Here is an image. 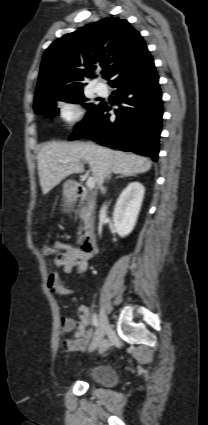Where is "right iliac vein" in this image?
<instances>
[{
    "label": "right iliac vein",
    "mask_w": 208,
    "mask_h": 425,
    "mask_svg": "<svg viewBox=\"0 0 208 425\" xmlns=\"http://www.w3.org/2000/svg\"><path fill=\"white\" fill-rule=\"evenodd\" d=\"M109 329H110V326H109L108 318L104 310L102 309L100 312V318H99L98 327L95 333V338L89 348L90 351H94L98 347L104 348L105 345L103 343V338L106 332L109 331Z\"/></svg>",
    "instance_id": "63e3f726"
}]
</instances>
